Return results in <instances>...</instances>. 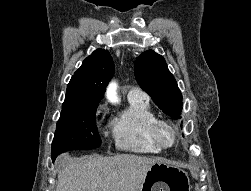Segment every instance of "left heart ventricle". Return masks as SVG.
<instances>
[{"label":"left heart ventricle","mask_w":251,"mask_h":191,"mask_svg":"<svg viewBox=\"0 0 251 191\" xmlns=\"http://www.w3.org/2000/svg\"><path fill=\"white\" fill-rule=\"evenodd\" d=\"M159 140L162 146L170 148L177 141L175 132L167 126H162L159 130Z\"/></svg>","instance_id":"obj_1"}]
</instances>
